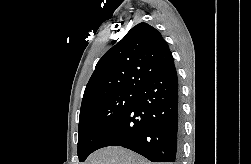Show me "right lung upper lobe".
<instances>
[{
	"mask_svg": "<svg viewBox=\"0 0 251 164\" xmlns=\"http://www.w3.org/2000/svg\"><path fill=\"white\" fill-rule=\"evenodd\" d=\"M173 60L160 32L147 23H139L98 61L82 105L110 92L138 89L173 65Z\"/></svg>",
	"mask_w": 251,
	"mask_h": 164,
	"instance_id": "cb5924a9",
	"label": "right lung upper lobe"
}]
</instances>
